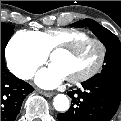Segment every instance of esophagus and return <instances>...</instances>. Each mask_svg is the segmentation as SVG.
I'll list each match as a JSON object with an SVG mask.
<instances>
[{"label":"esophagus","instance_id":"34e87169","mask_svg":"<svg viewBox=\"0 0 121 121\" xmlns=\"http://www.w3.org/2000/svg\"><path fill=\"white\" fill-rule=\"evenodd\" d=\"M41 93H42L44 96H46V97H51V96L55 95L54 92H45V91H41Z\"/></svg>","mask_w":121,"mask_h":121}]
</instances>
